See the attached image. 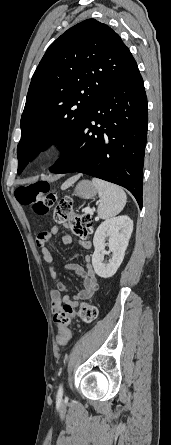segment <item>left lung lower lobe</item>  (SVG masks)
<instances>
[{"mask_svg": "<svg viewBox=\"0 0 171 445\" xmlns=\"http://www.w3.org/2000/svg\"><path fill=\"white\" fill-rule=\"evenodd\" d=\"M147 115L144 83L136 66L115 79L90 106L50 172H80L118 184L142 208Z\"/></svg>", "mask_w": 171, "mask_h": 445, "instance_id": "left-lung-lower-lobe-1", "label": "left lung lower lobe"}]
</instances>
